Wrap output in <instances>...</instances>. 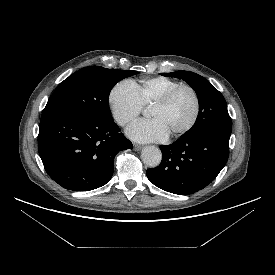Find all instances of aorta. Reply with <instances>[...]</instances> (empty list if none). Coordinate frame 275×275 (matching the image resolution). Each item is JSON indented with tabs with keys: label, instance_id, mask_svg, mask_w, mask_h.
Masks as SVG:
<instances>
[{
	"label": "aorta",
	"instance_id": "1",
	"mask_svg": "<svg viewBox=\"0 0 275 275\" xmlns=\"http://www.w3.org/2000/svg\"><path fill=\"white\" fill-rule=\"evenodd\" d=\"M141 157L147 166L155 168L161 163L162 153L155 146H147L142 150Z\"/></svg>",
	"mask_w": 275,
	"mask_h": 275
}]
</instances>
